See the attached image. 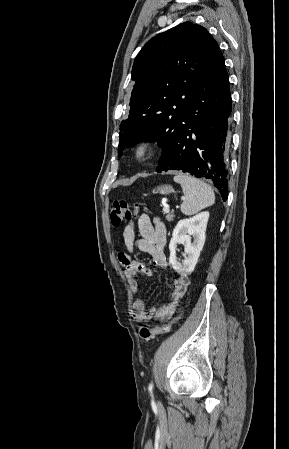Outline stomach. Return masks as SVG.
I'll use <instances>...</instances> for the list:
<instances>
[{
  "label": "stomach",
  "instance_id": "1",
  "mask_svg": "<svg viewBox=\"0 0 289 449\" xmlns=\"http://www.w3.org/2000/svg\"><path fill=\"white\" fill-rule=\"evenodd\" d=\"M173 191L174 190L170 185H161V186H158L157 188L153 189V193H160L163 195H167Z\"/></svg>",
  "mask_w": 289,
  "mask_h": 449
}]
</instances>
